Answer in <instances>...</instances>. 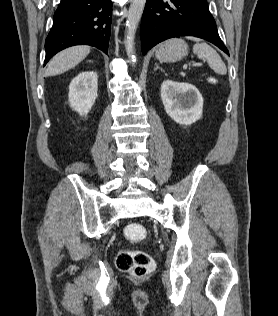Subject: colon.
Segmentation results:
<instances>
[{
    "label": "colon",
    "mask_w": 278,
    "mask_h": 316,
    "mask_svg": "<svg viewBox=\"0 0 278 316\" xmlns=\"http://www.w3.org/2000/svg\"><path fill=\"white\" fill-rule=\"evenodd\" d=\"M125 238L132 243H139L147 236V229L139 223L125 227ZM116 267L136 278L149 275L155 268V261L150 254L141 250L123 249L116 257Z\"/></svg>",
    "instance_id": "obj_1"
}]
</instances>
